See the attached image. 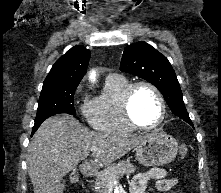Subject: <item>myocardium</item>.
Listing matches in <instances>:
<instances>
[{
  "instance_id": "1",
  "label": "myocardium",
  "mask_w": 221,
  "mask_h": 193,
  "mask_svg": "<svg viewBox=\"0 0 221 193\" xmlns=\"http://www.w3.org/2000/svg\"><path fill=\"white\" fill-rule=\"evenodd\" d=\"M143 86L150 88L156 94L160 103V107H161L159 119L157 120L156 123L150 126H143V125H140L138 122H136L131 111V102H132L133 95L137 88L143 87ZM121 105H122V112L127 123L130 126H132L134 129L143 130V131L156 130L163 124L166 118L167 105H166L165 98L162 92L160 91V89L149 81L142 80V81H137V82L129 84V86L127 87V89L125 90L123 94Z\"/></svg>"
}]
</instances>
